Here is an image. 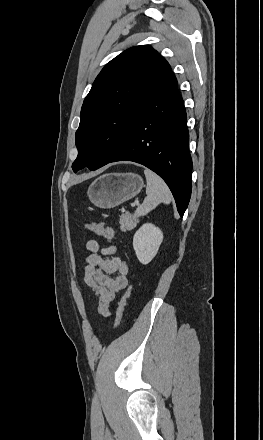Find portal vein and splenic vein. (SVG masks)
Masks as SVG:
<instances>
[{"instance_id":"obj_1","label":"portal vein and splenic vein","mask_w":263,"mask_h":440,"mask_svg":"<svg viewBox=\"0 0 263 440\" xmlns=\"http://www.w3.org/2000/svg\"><path fill=\"white\" fill-rule=\"evenodd\" d=\"M137 205H139V201L138 200L131 204L132 207H135Z\"/></svg>"}]
</instances>
